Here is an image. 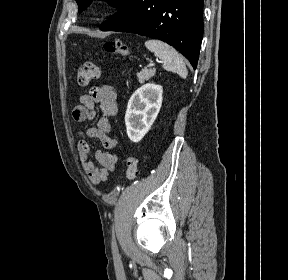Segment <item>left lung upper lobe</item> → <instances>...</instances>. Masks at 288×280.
<instances>
[{
    "label": "left lung upper lobe",
    "mask_w": 288,
    "mask_h": 280,
    "mask_svg": "<svg viewBox=\"0 0 288 280\" xmlns=\"http://www.w3.org/2000/svg\"><path fill=\"white\" fill-rule=\"evenodd\" d=\"M92 0H76L78 6H79V12H82L84 9L87 8V6L90 5ZM108 2L109 5L118 8V11L114 16H117L119 14H122L126 8L128 7L129 3L132 0H105Z\"/></svg>",
    "instance_id": "1"
}]
</instances>
